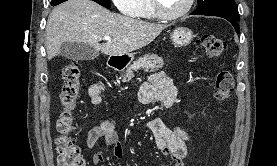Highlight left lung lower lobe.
<instances>
[{
  "label": "left lung lower lobe",
  "mask_w": 277,
  "mask_h": 166,
  "mask_svg": "<svg viewBox=\"0 0 277 166\" xmlns=\"http://www.w3.org/2000/svg\"><path fill=\"white\" fill-rule=\"evenodd\" d=\"M222 18H225L226 20H228L234 26L236 32L239 33V26H238L237 20L231 19L228 17H222Z\"/></svg>",
  "instance_id": "left-lung-lower-lobe-1"
}]
</instances>
